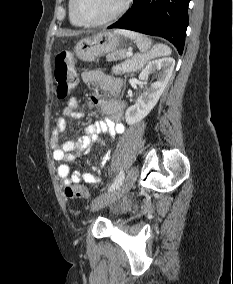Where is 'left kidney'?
I'll use <instances>...</instances> for the list:
<instances>
[{
	"mask_svg": "<svg viewBox=\"0 0 233 284\" xmlns=\"http://www.w3.org/2000/svg\"><path fill=\"white\" fill-rule=\"evenodd\" d=\"M174 66L175 60L173 58L164 57L150 61L141 71L140 81L145 83L151 74H155L156 81L138 97L134 105L126 110L125 119L128 125L141 121L154 108L171 78Z\"/></svg>",
	"mask_w": 233,
	"mask_h": 284,
	"instance_id": "5707ae66",
	"label": "left kidney"
}]
</instances>
